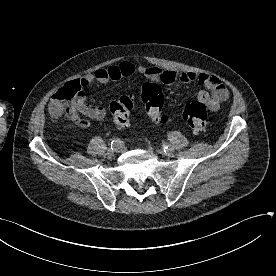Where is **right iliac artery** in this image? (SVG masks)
Wrapping results in <instances>:
<instances>
[{
	"label": "right iliac artery",
	"mask_w": 276,
	"mask_h": 276,
	"mask_svg": "<svg viewBox=\"0 0 276 276\" xmlns=\"http://www.w3.org/2000/svg\"><path fill=\"white\" fill-rule=\"evenodd\" d=\"M123 146V142L120 139H114L111 142V148L113 147H122Z\"/></svg>",
	"instance_id": "right-iliac-artery-1"
}]
</instances>
